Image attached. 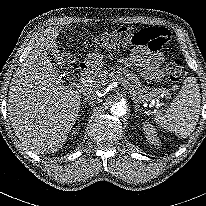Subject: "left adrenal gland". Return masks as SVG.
Masks as SVG:
<instances>
[{"label": "left adrenal gland", "mask_w": 206, "mask_h": 206, "mask_svg": "<svg viewBox=\"0 0 206 206\" xmlns=\"http://www.w3.org/2000/svg\"><path fill=\"white\" fill-rule=\"evenodd\" d=\"M134 103H135L134 109H135V113H136L138 111L139 105L137 104V100L136 99H135Z\"/></svg>", "instance_id": "a2214340"}]
</instances>
